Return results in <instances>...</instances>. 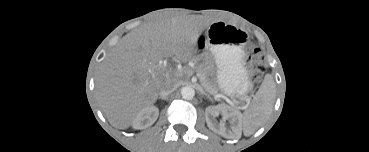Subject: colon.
<instances>
[{"label": "colon", "instance_id": "1", "mask_svg": "<svg viewBox=\"0 0 369 152\" xmlns=\"http://www.w3.org/2000/svg\"><path fill=\"white\" fill-rule=\"evenodd\" d=\"M249 65L251 69V77L257 81L263 73V55L260 49H255L249 57Z\"/></svg>", "mask_w": 369, "mask_h": 152}]
</instances>
